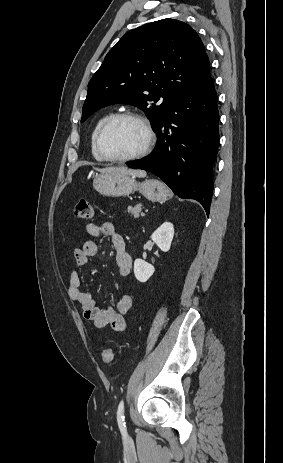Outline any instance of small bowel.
Here are the masks:
<instances>
[{
    "mask_svg": "<svg viewBox=\"0 0 283 463\" xmlns=\"http://www.w3.org/2000/svg\"><path fill=\"white\" fill-rule=\"evenodd\" d=\"M86 231L93 237H109L115 250V260L118 274L121 277L129 275L132 267V259L126 250V243L123 236L117 232L115 226L110 222L102 225L88 223ZM99 252V246L95 241H86L82 247L75 248L73 257L78 268L83 267L90 257H94ZM69 297L75 301L82 310L85 320L95 326L103 328L110 327L116 331H125L127 322L125 315L130 311L133 300L130 295L121 296L113 306L100 309L92 296L84 292L81 288V277L77 269L72 270L68 283Z\"/></svg>",
    "mask_w": 283,
    "mask_h": 463,
    "instance_id": "1",
    "label": "small bowel"
}]
</instances>
